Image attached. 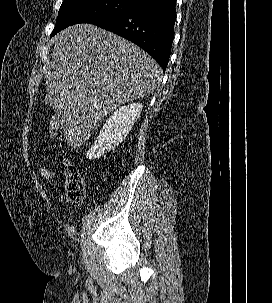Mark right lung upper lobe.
<instances>
[{
  "label": "right lung upper lobe",
  "mask_w": 272,
  "mask_h": 303,
  "mask_svg": "<svg viewBox=\"0 0 272 303\" xmlns=\"http://www.w3.org/2000/svg\"><path fill=\"white\" fill-rule=\"evenodd\" d=\"M133 1H135L138 5H141V4H144L148 1H153V0H133Z\"/></svg>",
  "instance_id": "1"
}]
</instances>
